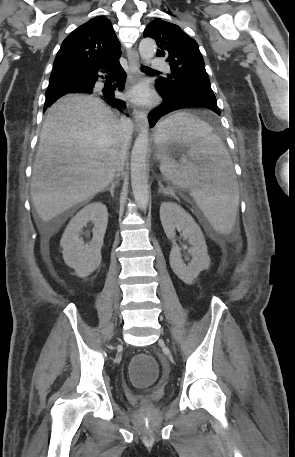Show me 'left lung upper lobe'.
I'll use <instances>...</instances> for the list:
<instances>
[{
  "instance_id": "left-lung-upper-lobe-1",
  "label": "left lung upper lobe",
  "mask_w": 295,
  "mask_h": 457,
  "mask_svg": "<svg viewBox=\"0 0 295 457\" xmlns=\"http://www.w3.org/2000/svg\"><path fill=\"white\" fill-rule=\"evenodd\" d=\"M144 37L156 41L157 56L166 58L171 67L167 78L156 81V88L178 94L213 93L197 42L179 26L155 19L147 25Z\"/></svg>"
}]
</instances>
